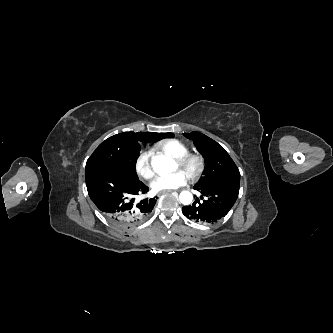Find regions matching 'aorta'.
<instances>
[{
	"instance_id": "762f6f07",
	"label": "aorta",
	"mask_w": 333,
	"mask_h": 333,
	"mask_svg": "<svg viewBox=\"0 0 333 333\" xmlns=\"http://www.w3.org/2000/svg\"><path fill=\"white\" fill-rule=\"evenodd\" d=\"M152 168L159 175H167L177 169L176 162L171 157L155 156L152 159ZM180 202L184 205H189L192 202L193 196L189 191H183L179 195Z\"/></svg>"
}]
</instances>
